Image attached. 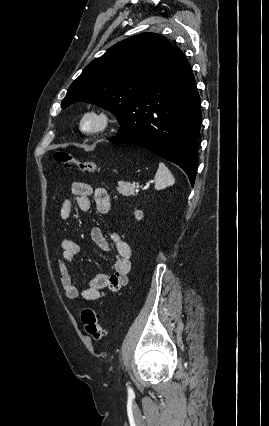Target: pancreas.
<instances>
[{
	"instance_id": "obj_1",
	"label": "pancreas",
	"mask_w": 269,
	"mask_h": 426,
	"mask_svg": "<svg viewBox=\"0 0 269 426\" xmlns=\"http://www.w3.org/2000/svg\"><path fill=\"white\" fill-rule=\"evenodd\" d=\"M117 191L123 196H135L136 185L134 183L120 181L118 183Z\"/></svg>"
}]
</instances>
